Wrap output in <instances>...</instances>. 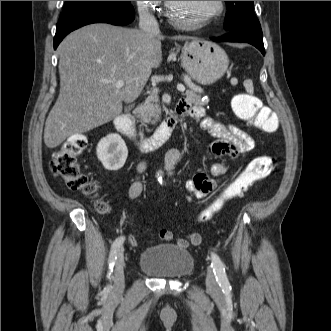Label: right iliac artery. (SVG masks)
<instances>
[{
  "instance_id": "right-iliac-artery-1",
  "label": "right iliac artery",
  "mask_w": 331,
  "mask_h": 331,
  "mask_svg": "<svg viewBox=\"0 0 331 331\" xmlns=\"http://www.w3.org/2000/svg\"><path fill=\"white\" fill-rule=\"evenodd\" d=\"M124 240H125V237L120 236L113 242V244L111 246L109 260H108L110 273L112 272L113 266H114L115 261L117 259V255L120 251V248L122 247V244H123Z\"/></svg>"
}]
</instances>
